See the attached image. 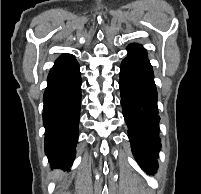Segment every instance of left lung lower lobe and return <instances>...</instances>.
Listing matches in <instances>:
<instances>
[{"label":"left lung lower lobe","mask_w":201,"mask_h":194,"mask_svg":"<svg viewBox=\"0 0 201 194\" xmlns=\"http://www.w3.org/2000/svg\"><path fill=\"white\" fill-rule=\"evenodd\" d=\"M127 51L120 66L119 80L123 115L139 166L148 174H154L161 149L154 73L142 45L131 44Z\"/></svg>","instance_id":"left-lung-lower-lobe-1"}]
</instances>
